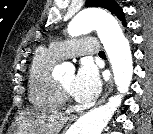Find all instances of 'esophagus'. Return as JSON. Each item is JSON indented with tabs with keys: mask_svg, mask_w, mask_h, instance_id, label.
I'll list each match as a JSON object with an SVG mask.
<instances>
[{
	"mask_svg": "<svg viewBox=\"0 0 153 134\" xmlns=\"http://www.w3.org/2000/svg\"><path fill=\"white\" fill-rule=\"evenodd\" d=\"M112 89H113V79H112V76H111L110 80L108 81V83L106 85L103 96L101 97V99L98 102V105L102 104L105 101L107 96L111 93ZM75 118H77V116L73 117V119H75Z\"/></svg>",
	"mask_w": 153,
	"mask_h": 134,
	"instance_id": "34e87169",
	"label": "esophagus"
}]
</instances>
